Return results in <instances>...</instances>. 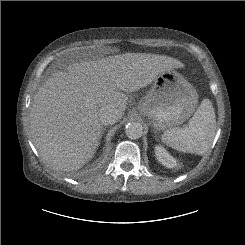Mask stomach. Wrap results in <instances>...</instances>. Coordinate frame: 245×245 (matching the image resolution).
Instances as JSON below:
<instances>
[{"instance_id": "obj_1", "label": "stomach", "mask_w": 245, "mask_h": 245, "mask_svg": "<svg viewBox=\"0 0 245 245\" xmlns=\"http://www.w3.org/2000/svg\"><path fill=\"white\" fill-rule=\"evenodd\" d=\"M197 104L194 87L180 73L170 69L154 79L138 109L150 119L155 130L167 131L188 120Z\"/></svg>"}]
</instances>
